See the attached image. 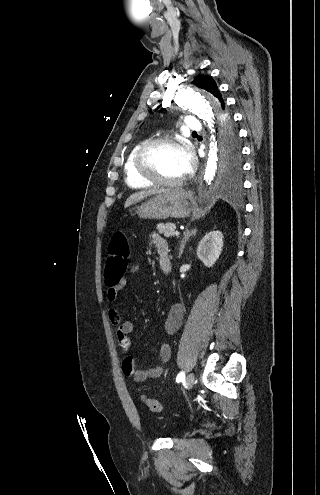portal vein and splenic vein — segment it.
Instances as JSON below:
<instances>
[{"label":"portal vein and splenic vein","instance_id":"portal-vein-and-splenic-vein-1","mask_svg":"<svg viewBox=\"0 0 320 495\" xmlns=\"http://www.w3.org/2000/svg\"><path fill=\"white\" fill-rule=\"evenodd\" d=\"M179 234H180V233H179L178 231H176V232L174 233V235H176V236H179Z\"/></svg>","mask_w":320,"mask_h":495}]
</instances>
